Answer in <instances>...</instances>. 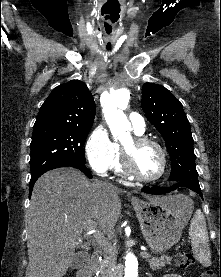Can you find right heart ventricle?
Segmentation results:
<instances>
[{
    "mask_svg": "<svg viewBox=\"0 0 221 277\" xmlns=\"http://www.w3.org/2000/svg\"><path fill=\"white\" fill-rule=\"evenodd\" d=\"M138 136H141L142 133L135 132ZM112 168L118 175H125L126 173L123 170L121 163V146L115 143V158L113 161Z\"/></svg>",
    "mask_w": 221,
    "mask_h": 277,
    "instance_id": "e07e8e85",
    "label": "right heart ventricle"
}]
</instances>
